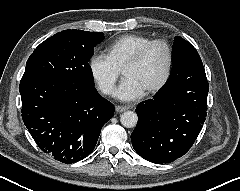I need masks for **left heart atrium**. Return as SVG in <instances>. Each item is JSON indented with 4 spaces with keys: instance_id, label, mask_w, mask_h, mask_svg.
Instances as JSON below:
<instances>
[{
    "instance_id": "39dd6f15",
    "label": "left heart atrium",
    "mask_w": 240,
    "mask_h": 191,
    "mask_svg": "<svg viewBox=\"0 0 240 191\" xmlns=\"http://www.w3.org/2000/svg\"><path fill=\"white\" fill-rule=\"evenodd\" d=\"M144 93L143 88L136 80L131 77H125L116 90L115 95L119 100L133 101L140 98Z\"/></svg>"
}]
</instances>
